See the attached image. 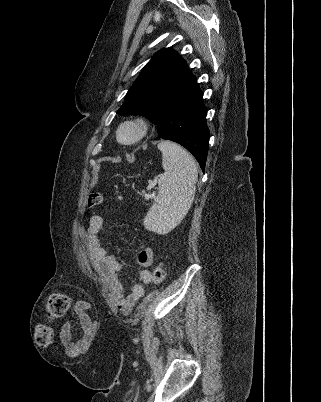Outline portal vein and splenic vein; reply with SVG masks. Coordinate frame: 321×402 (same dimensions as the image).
<instances>
[{"label":"portal vein and splenic vein","instance_id":"18ae733b","mask_svg":"<svg viewBox=\"0 0 321 402\" xmlns=\"http://www.w3.org/2000/svg\"><path fill=\"white\" fill-rule=\"evenodd\" d=\"M151 188H153V184H150L147 189L150 190ZM153 196H154V194H145V197H146L147 199H149V198H151V197H153Z\"/></svg>","mask_w":321,"mask_h":402}]
</instances>
